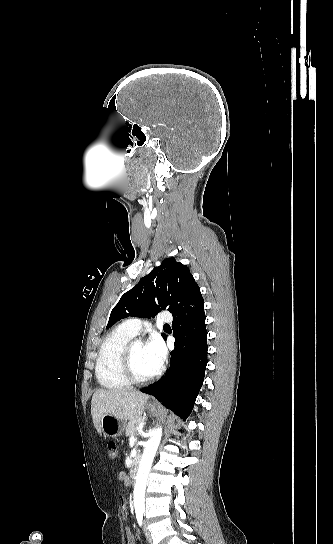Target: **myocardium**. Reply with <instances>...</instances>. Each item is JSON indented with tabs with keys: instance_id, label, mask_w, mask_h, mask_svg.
<instances>
[{
	"instance_id": "myocardium-1",
	"label": "myocardium",
	"mask_w": 333,
	"mask_h": 544,
	"mask_svg": "<svg viewBox=\"0 0 333 544\" xmlns=\"http://www.w3.org/2000/svg\"><path fill=\"white\" fill-rule=\"evenodd\" d=\"M135 343L136 341L129 342L123 351L122 371L125 378L128 380L130 384L145 385L147 383L152 382L158 376V372H155L154 374L146 378H140L139 376H137V374L134 371L133 363H132V348Z\"/></svg>"
}]
</instances>
